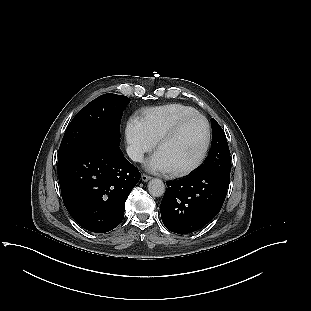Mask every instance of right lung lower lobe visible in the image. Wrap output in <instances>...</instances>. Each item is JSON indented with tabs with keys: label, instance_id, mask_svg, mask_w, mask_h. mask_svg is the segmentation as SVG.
<instances>
[{
	"label": "right lung lower lobe",
	"instance_id": "1",
	"mask_svg": "<svg viewBox=\"0 0 311 311\" xmlns=\"http://www.w3.org/2000/svg\"><path fill=\"white\" fill-rule=\"evenodd\" d=\"M64 205L84 229L105 233L120 224L141 177L118 145L89 144L58 161Z\"/></svg>",
	"mask_w": 311,
	"mask_h": 311
}]
</instances>
